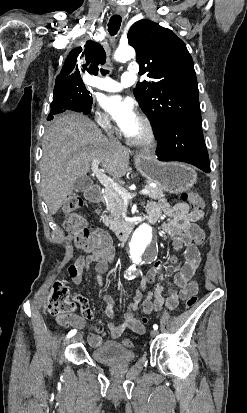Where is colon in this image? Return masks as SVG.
Returning <instances> with one entry per match:
<instances>
[{
	"label": "colon",
	"mask_w": 247,
	"mask_h": 413,
	"mask_svg": "<svg viewBox=\"0 0 247 413\" xmlns=\"http://www.w3.org/2000/svg\"><path fill=\"white\" fill-rule=\"evenodd\" d=\"M181 199L189 201L197 211L203 208V201L196 192H184L181 195ZM82 208L83 201L80 197L70 196L66 199L61 209L64 216V229L75 236L74 241L77 246H84L88 243L90 250L97 252L103 260H113L115 257L114 246L108 244L106 234L92 230L89 227L86 218L80 214ZM175 250L179 251L180 247L176 246ZM69 295L67 287L62 282L53 283L50 300L48 302L49 313L51 315L73 313V307H77V304H69ZM197 301V298H186V307L188 309L195 307ZM123 345L128 348L133 346L132 341L129 339H124Z\"/></svg>",
	"instance_id": "colon-1"
}]
</instances>
